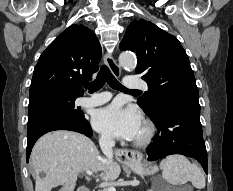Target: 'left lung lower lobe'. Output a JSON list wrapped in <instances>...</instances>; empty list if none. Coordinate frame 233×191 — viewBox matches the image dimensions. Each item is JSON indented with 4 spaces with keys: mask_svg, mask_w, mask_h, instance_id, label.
<instances>
[{
    "mask_svg": "<svg viewBox=\"0 0 233 191\" xmlns=\"http://www.w3.org/2000/svg\"><path fill=\"white\" fill-rule=\"evenodd\" d=\"M199 117L200 109L190 105L157 107L151 119L158 129V135L146 150L148 160L182 154L198 160L208 173L207 151Z\"/></svg>",
    "mask_w": 233,
    "mask_h": 191,
    "instance_id": "left-lung-lower-lobe-1",
    "label": "left lung lower lobe"
}]
</instances>
